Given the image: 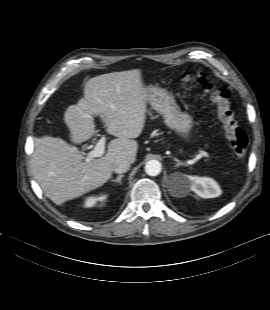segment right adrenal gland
I'll list each match as a JSON object with an SVG mask.
<instances>
[{
	"mask_svg": "<svg viewBox=\"0 0 270 310\" xmlns=\"http://www.w3.org/2000/svg\"><path fill=\"white\" fill-rule=\"evenodd\" d=\"M123 177H124L123 174L118 175L117 178H116V179H112L111 182H117V183L121 184V183H122V182H121V179H122Z\"/></svg>",
	"mask_w": 270,
	"mask_h": 310,
	"instance_id": "1",
	"label": "right adrenal gland"
}]
</instances>
